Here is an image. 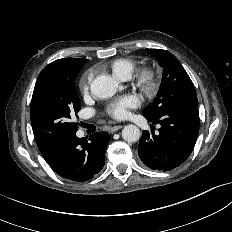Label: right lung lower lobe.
I'll return each mask as SVG.
<instances>
[{
    "label": "right lung lower lobe",
    "mask_w": 232,
    "mask_h": 232,
    "mask_svg": "<svg viewBox=\"0 0 232 232\" xmlns=\"http://www.w3.org/2000/svg\"><path fill=\"white\" fill-rule=\"evenodd\" d=\"M109 140V134L103 131L90 135L89 140L73 134L59 142L46 161L66 179L87 181L103 168Z\"/></svg>",
    "instance_id": "right-lung-lower-lobe-1"
}]
</instances>
